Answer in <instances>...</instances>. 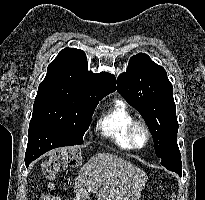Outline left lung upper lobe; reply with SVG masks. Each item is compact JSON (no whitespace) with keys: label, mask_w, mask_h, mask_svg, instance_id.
<instances>
[{"label":"left lung upper lobe","mask_w":205,"mask_h":200,"mask_svg":"<svg viewBox=\"0 0 205 200\" xmlns=\"http://www.w3.org/2000/svg\"><path fill=\"white\" fill-rule=\"evenodd\" d=\"M117 91L146 121L159 159L172 155L178 122L173 86L165 69L146 54L133 56L118 77Z\"/></svg>","instance_id":"obj_1"}]
</instances>
